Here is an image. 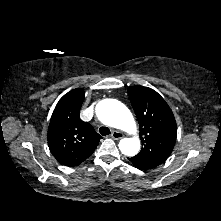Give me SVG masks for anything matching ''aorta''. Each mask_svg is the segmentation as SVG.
Returning <instances> with one entry per match:
<instances>
[{
	"label": "aorta",
	"instance_id": "762f6f07",
	"mask_svg": "<svg viewBox=\"0 0 221 221\" xmlns=\"http://www.w3.org/2000/svg\"><path fill=\"white\" fill-rule=\"evenodd\" d=\"M98 119L111 127L128 133H136L137 127L133 115L128 108L115 99H105L96 107ZM120 151L126 156H135L140 150L138 137L123 138L119 142Z\"/></svg>",
	"mask_w": 221,
	"mask_h": 221
}]
</instances>
